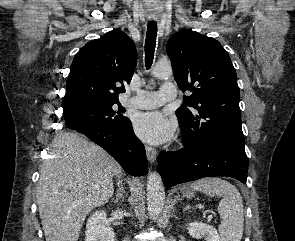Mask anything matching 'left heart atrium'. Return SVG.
I'll list each match as a JSON object with an SVG mask.
<instances>
[{"instance_id": "obj_1", "label": "left heart atrium", "mask_w": 295, "mask_h": 241, "mask_svg": "<svg viewBox=\"0 0 295 241\" xmlns=\"http://www.w3.org/2000/svg\"><path fill=\"white\" fill-rule=\"evenodd\" d=\"M136 134L151 144H161L173 136L175 125L158 111L139 114L134 120Z\"/></svg>"}]
</instances>
